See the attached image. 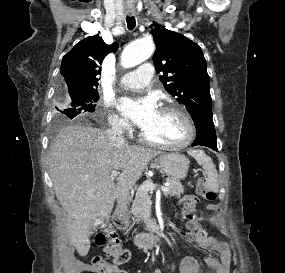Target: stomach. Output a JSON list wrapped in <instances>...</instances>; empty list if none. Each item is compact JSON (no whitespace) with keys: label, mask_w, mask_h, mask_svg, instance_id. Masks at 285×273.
I'll use <instances>...</instances> for the list:
<instances>
[{"label":"stomach","mask_w":285,"mask_h":273,"mask_svg":"<svg viewBox=\"0 0 285 273\" xmlns=\"http://www.w3.org/2000/svg\"><path fill=\"white\" fill-rule=\"evenodd\" d=\"M158 162L162 171L174 180H182L187 176L189 170V160L184 155L170 153L160 156Z\"/></svg>","instance_id":"0dacf381"}]
</instances>
